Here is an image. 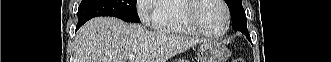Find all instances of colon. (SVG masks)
<instances>
[{"mask_svg":"<svg viewBox=\"0 0 331 62\" xmlns=\"http://www.w3.org/2000/svg\"><path fill=\"white\" fill-rule=\"evenodd\" d=\"M233 62H244V60H242V59H235V60H233Z\"/></svg>","mask_w":331,"mask_h":62,"instance_id":"colon-1","label":"colon"}]
</instances>
